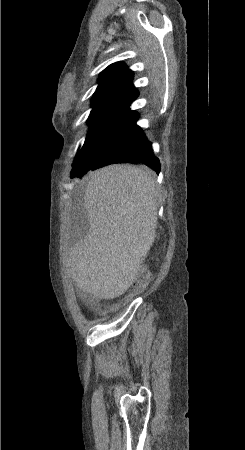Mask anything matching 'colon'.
<instances>
[{
	"instance_id": "obj_1",
	"label": "colon",
	"mask_w": 245,
	"mask_h": 450,
	"mask_svg": "<svg viewBox=\"0 0 245 450\" xmlns=\"http://www.w3.org/2000/svg\"><path fill=\"white\" fill-rule=\"evenodd\" d=\"M146 285V276L139 273L129 288L130 295L139 293L145 288Z\"/></svg>"
}]
</instances>
